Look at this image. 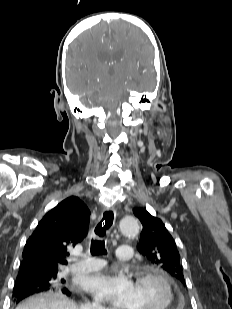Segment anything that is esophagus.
Instances as JSON below:
<instances>
[{
	"label": "esophagus",
	"mask_w": 232,
	"mask_h": 309,
	"mask_svg": "<svg viewBox=\"0 0 232 309\" xmlns=\"http://www.w3.org/2000/svg\"><path fill=\"white\" fill-rule=\"evenodd\" d=\"M116 219V212L112 207L105 208L99 220L92 228V236L97 239H105L109 236Z\"/></svg>",
	"instance_id": "obj_1"
}]
</instances>
